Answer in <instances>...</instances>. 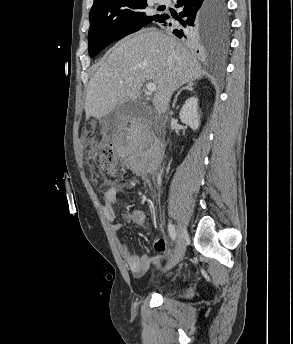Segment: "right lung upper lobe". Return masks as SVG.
Listing matches in <instances>:
<instances>
[{"instance_id":"right-lung-upper-lobe-1","label":"right lung upper lobe","mask_w":293,"mask_h":344,"mask_svg":"<svg viewBox=\"0 0 293 344\" xmlns=\"http://www.w3.org/2000/svg\"><path fill=\"white\" fill-rule=\"evenodd\" d=\"M116 1H119V0H94L91 10L114 3Z\"/></svg>"}]
</instances>
